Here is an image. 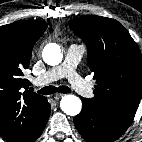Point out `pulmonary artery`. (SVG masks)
I'll return each instance as SVG.
<instances>
[{"instance_id": "1", "label": "pulmonary artery", "mask_w": 142, "mask_h": 142, "mask_svg": "<svg viewBox=\"0 0 142 142\" xmlns=\"http://www.w3.org/2000/svg\"><path fill=\"white\" fill-rule=\"evenodd\" d=\"M86 52L84 45L71 44L67 50L64 61L51 69L45 74L35 78L36 85H46L61 78H67L71 87L84 97H91L93 94L92 87L76 71L81 58Z\"/></svg>"}]
</instances>
